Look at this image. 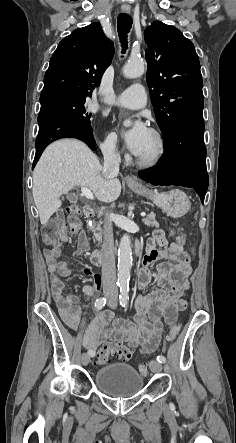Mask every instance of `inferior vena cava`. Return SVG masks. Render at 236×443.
Listing matches in <instances>:
<instances>
[{"label":"inferior vena cava","mask_w":236,"mask_h":443,"mask_svg":"<svg viewBox=\"0 0 236 443\" xmlns=\"http://www.w3.org/2000/svg\"><path fill=\"white\" fill-rule=\"evenodd\" d=\"M103 173L107 178L116 177L119 173L120 154L115 150L114 142H111L104 150ZM102 280L103 293L110 305H116L118 290L116 286L115 250L113 239V227L110 218L104 225V237L102 245Z\"/></svg>","instance_id":"1"}]
</instances>
